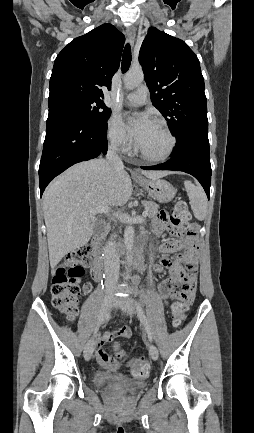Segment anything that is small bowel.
I'll use <instances>...</instances> for the list:
<instances>
[{
  "mask_svg": "<svg viewBox=\"0 0 254 433\" xmlns=\"http://www.w3.org/2000/svg\"><path fill=\"white\" fill-rule=\"evenodd\" d=\"M154 231L157 234L165 230H169L178 239L165 242L160 247L162 258L160 263L154 264L151 271L154 274H162L167 269L171 273V277L162 281L158 286L160 297L164 301L177 299L178 301L191 300L194 296V291L197 283L198 262L196 258V244L193 236H184L181 229H176L160 219H156L153 223ZM182 251L175 261L168 258V255L174 252ZM180 286V291L176 292L175 288ZM125 334L118 331H109L101 334L96 342V358L101 367L107 372H115L119 369L120 361L108 353L104 349V345L116 338H130L132 331L130 328H122Z\"/></svg>",
  "mask_w": 254,
  "mask_h": 433,
  "instance_id": "obj_1",
  "label": "small bowel"
}]
</instances>
